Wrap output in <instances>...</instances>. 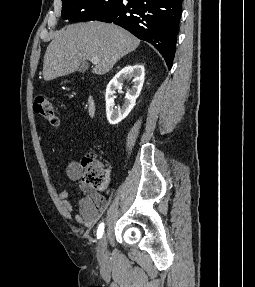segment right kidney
Segmentation results:
<instances>
[{
	"label": "right kidney",
	"instance_id": "ca27d5eb",
	"mask_svg": "<svg viewBox=\"0 0 255 287\" xmlns=\"http://www.w3.org/2000/svg\"><path fill=\"white\" fill-rule=\"evenodd\" d=\"M144 76V66L135 64V66H126V68L120 70V72L114 76L113 80L109 82L105 94L106 114L109 124H113V126H115V124H119V122L124 120V118L128 116L129 112L133 110L135 100L138 98L144 84ZM124 80H132L134 84L125 96V104H123L121 108H115V90H118V88L123 86Z\"/></svg>",
	"mask_w": 255,
	"mask_h": 287
}]
</instances>
